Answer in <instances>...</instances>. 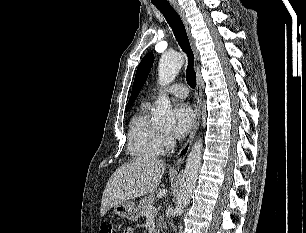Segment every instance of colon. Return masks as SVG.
Instances as JSON below:
<instances>
[{"label":"colon","mask_w":306,"mask_h":233,"mask_svg":"<svg viewBox=\"0 0 306 233\" xmlns=\"http://www.w3.org/2000/svg\"><path fill=\"white\" fill-rule=\"evenodd\" d=\"M99 233H116V231L111 223H103L100 226ZM124 233H134V232L132 230H126Z\"/></svg>","instance_id":"colon-1"}]
</instances>
